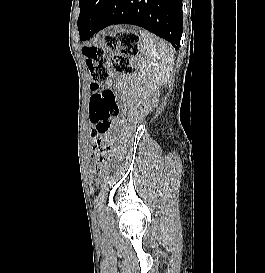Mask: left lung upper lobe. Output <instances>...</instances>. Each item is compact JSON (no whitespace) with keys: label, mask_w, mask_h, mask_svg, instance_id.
<instances>
[{"label":"left lung upper lobe","mask_w":265,"mask_h":273,"mask_svg":"<svg viewBox=\"0 0 265 273\" xmlns=\"http://www.w3.org/2000/svg\"><path fill=\"white\" fill-rule=\"evenodd\" d=\"M98 0H79L80 15L78 18V30L84 15L88 10L97 3Z\"/></svg>","instance_id":"obj_1"}]
</instances>
